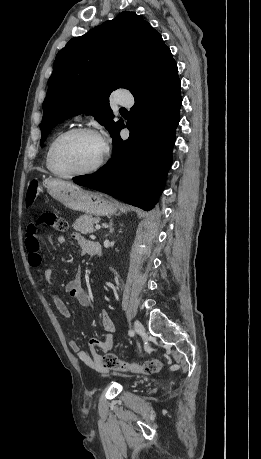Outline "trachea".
<instances>
[{"label": "trachea", "mask_w": 261, "mask_h": 459, "mask_svg": "<svg viewBox=\"0 0 261 459\" xmlns=\"http://www.w3.org/2000/svg\"><path fill=\"white\" fill-rule=\"evenodd\" d=\"M120 110H121V111H126V109H125V108H121Z\"/></svg>", "instance_id": "trachea-1"}]
</instances>
